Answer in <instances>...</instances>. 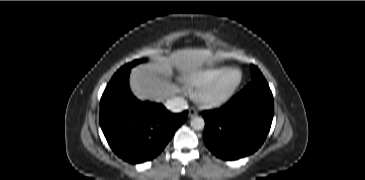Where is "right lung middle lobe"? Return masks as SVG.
Here are the masks:
<instances>
[{"label": "right lung middle lobe", "instance_id": "1", "mask_svg": "<svg viewBox=\"0 0 365 180\" xmlns=\"http://www.w3.org/2000/svg\"><path fill=\"white\" fill-rule=\"evenodd\" d=\"M141 60H135L125 66H123L120 70H123V69H130L131 67L135 66L136 64L140 63Z\"/></svg>", "mask_w": 365, "mask_h": 180}]
</instances>
